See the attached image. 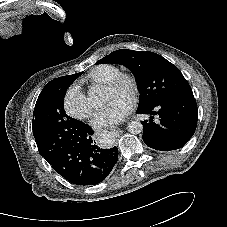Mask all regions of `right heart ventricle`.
I'll list each match as a JSON object with an SVG mask.
<instances>
[{
    "label": "right heart ventricle",
    "instance_id": "obj_1",
    "mask_svg": "<svg viewBox=\"0 0 227 227\" xmlns=\"http://www.w3.org/2000/svg\"><path fill=\"white\" fill-rule=\"evenodd\" d=\"M120 72V68L112 63H102L92 67L84 76L83 82L89 84H106Z\"/></svg>",
    "mask_w": 227,
    "mask_h": 227
}]
</instances>
